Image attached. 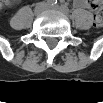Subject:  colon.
Returning a JSON list of instances; mask_svg holds the SVG:
<instances>
[{"label":"colon","instance_id":"colon-1","mask_svg":"<svg viewBox=\"0 0 103 103\" xmlns=\"http://www.w3.org/2000/svg\"><path fill=\"white\" fill-rule=\"evenodd\" d=\"M89 7L95 11V25L101 26L103 24V9L98 1H91Z\"/></svg>","mask_w":103,"mask_h":103}]
</instances>
